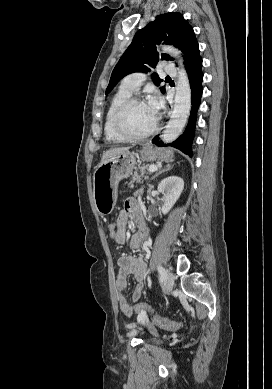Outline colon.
I'll use <instances>...</instances> for the list:
<instances>
[{
    "mask_svg": "<svg viewBox=\"0 0 272 389\" xmlns=\"http://www.w3.org/2000/svg\"><path fill=\"white\" fill-rule=\"evenodd\" d=\"M108 232L111 238H114L118 233L117 223H110L108 225ZM134 309L137 313L144 316H149L153 324L157 327L165 330H178L182 327V323L174 320H170L166 317L159 316L154 313L152 308L145 303H137L134 306Z\"/></svg>",
    "mask_w": 272,
    "mask_h": 389,
    "instance_id": "5ec220e1",
    "label": "colon"
}]
</instances>
